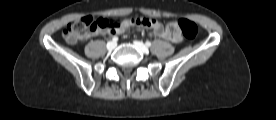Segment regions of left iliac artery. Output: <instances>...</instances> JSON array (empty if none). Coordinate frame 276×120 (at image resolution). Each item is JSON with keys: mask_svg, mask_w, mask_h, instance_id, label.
<instances>
[{"mask_svg": "<svg viewBox=\"0 0 276 120\" xmlns=\"http://www.w3.org/2000/svg\"><path fill=\"white\" fill-rule=\"evenodd\" d=\"M146 46L150 47L151 46V42L150 41H146Z\"/></svg>", "mask_w": 276, "mask_h": 120, "instance_id": "44dca946", "label": "left iliac artery"}]
</instances>
